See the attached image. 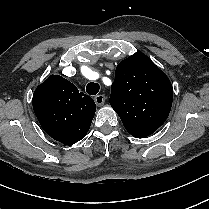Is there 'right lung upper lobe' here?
I'll use <instances>...</instances> for the list:
<instances>
[{
	"mask_svg": "<svg viewBox=\"0 0 209 209\" xmlns=\"http://www.w3.org/2000/svg\"><path fill=\"white\" fill-rule=\"evenodd\" d=\"M33 109L43 130L53 139L75 143L85 137L93 120V99L59 75H51L33 95Z\"/></svg>",
	"mask_w": 209,
	"mask_h": 209,
	"instance_id": "cb5924a9",
	"label": "right lung upper lobe"
}]
</instances>
